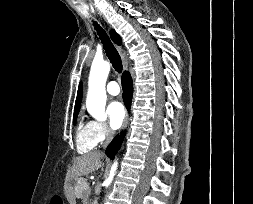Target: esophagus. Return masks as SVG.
Here are the masks:
<instances>
[{
	"label": "esophagus",
	"mask_w": 253,
	"mask_h": 204,
	"mask_svg": "<svg viewBox=\"0 0 253 204\" xmlns=\"http://www.w3.org/2000/svg\"><path fill=\"white\" fill-rule=\"evenodd\" d=\"M118 51H119L120 56H121V58H122L124 68L127 69L128 63H127L126 54H125L124 50H123L121 47H118ZM127 122H128V113H126V117H125V120H124L123 129L126 127Z\"/></svg>",
	"instance_id": "esophagus-1"
}]
</instances>
